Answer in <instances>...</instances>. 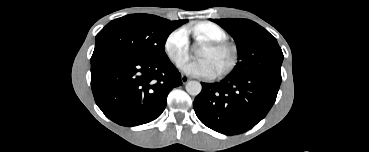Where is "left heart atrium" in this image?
Returning a JSON list of instances; mask_svg holds the SVG:
<instances>
[{"mask_svg": "<svg viewBox=\"0 0 369 152\" xmlns=\"http://www.w3.org/2000/svg\"><path fill=\"white\" fill-rule=\"evenodd\" d=\"M182 72L193 77H214L216 71L208 59L188 60L180 65Z\"/></svg>", "mask_w": 369, "mask_h": 152, "instance_id": "39dd6f15", "label": "left heart atrium"}]
</instances>
